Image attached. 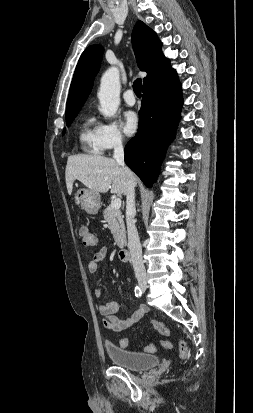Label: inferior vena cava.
Segmentation results:
<instances>
[{
    "instance_id": "inferior-vena-cava-1",
    "label": "inferior vena cava",
    "mask_w": 253,
    "mask_h": 413,
    "mask_svg": "<svg viewBox=\"0 0 253 413\" xmlns=\"http://www.w3.org/2000/svg\"><path fill=\"white\" fill-rule=\"evenodd\" d=\"M113 158L126 172H128V168L125 167L124 163V149L121 138H116L115 140ZM134 187V184L130 180H128V187L126 191V224L128 234V248L130 250L131 260L136 277L145 278L146 271L142 259V248L134 221V217L136 215Z\"/></svg>"
}]
</instances>
